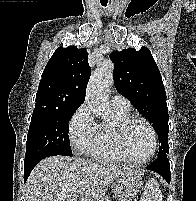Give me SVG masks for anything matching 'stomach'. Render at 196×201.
Masks as SVG:
<instances>
[{"label":"stomach","mask_w":196,"mask_h":201,"mask_svg":"<svg viewBox=\"0 0 196 201\" xmlns=\"http://www.w3.org/2000/svg\"><path fill=\"white\" fill-rule=\"evenodd\" d=\"M142 185L140 178L137 176H123L117 179L114 190L121 201H132Z\"/></svg>","instance_id":"obj_1"}]
</instances>
